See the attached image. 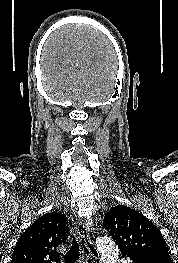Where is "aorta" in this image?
<instances>
[{"label": "aorta", "instance_id": "obj_1", "mask_svg": "<svg viewBox=\"0 0 178 263\" xmlns=\"http://www.w3.org/2000/svg\"><path fill=\"white\" fill-rule=\"evenodd\" d=\"M96 245L101 255V263L118 262L119 249L111 238L107 236L99 237L96 240Z\"/></svg>", "mask_w": 178, "mask_h": 263}]
</instances>
